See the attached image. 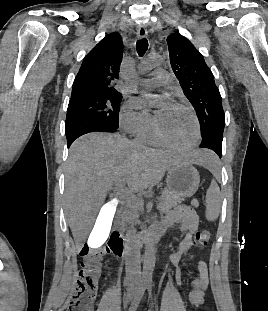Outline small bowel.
<instances>
[{
  "mask_svg": "<svg viewBox=\"0 0 268 311\" xmlns=\"http://www.w3.org/2000/svg\"><path fill=\"white\" fill-rule=\"evenodd\" d=\"M175 224L179 225L184 236L177 250L171 254L170 260L174 265H179L184 256L194 257V255L190 254V249L195 243L198 231V215L192 208L181 206L171 211L163 222L156 225L155 229L165 231L172 228ZM197 271L198 276L193 279L191 283L192 289L188 296L192 307H198L203 304L209 284L208 267L204 261H198ZM180 275L181 270L179 269L176 275L177 281H179Z\"/></svg>",
  "mask_w": 268,
  "mask_h": 311,
  "instance_id": "obj_1",
  "label": "small bowel"
}]
</instances>
